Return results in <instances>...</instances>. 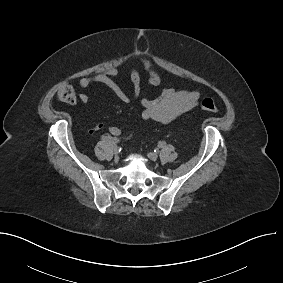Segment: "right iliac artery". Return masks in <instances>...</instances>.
Returning a JSON list of instances; mask_svg holds the SVG:
<instances>
[{"label":"right iliac artery","mask_w":283,"mask_h":283,"mask_svg":"<svg viewBox=\"0 0 283 283\" xmlns=\"http://www.w3.org/2000/svg\"><path fill=\"white\" fill-rule=\"evenodd\" d=\"M104 140L112 144H116L119 142V139L110 136L104 137Z\"/></svg>","instance_id":"obj_1"}]
</instances>
